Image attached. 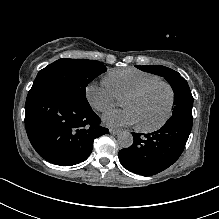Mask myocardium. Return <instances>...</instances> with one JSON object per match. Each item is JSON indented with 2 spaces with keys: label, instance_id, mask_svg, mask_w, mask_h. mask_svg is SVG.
<instances>
[{
  "label": "myocardium",
  "instance_id": "1",
  "mask_svg": "<svg viewBox=\"0 0 219 219\" xmlns=\"http://www.w3.org/2000/svg\"><path fill=\"white\" fill-rule=\"evenodd\" d=\"M156 85H164L167 87V89L169 91V104H168L167 112H166L164 118L162 119V121L154 126L138 125V129L141 132H154V131H157V130L163 128L166 125V123L168 122V120L172 116V112H173V107H174V102H175L174 89L169 82L159 79V80L147 82V83L139 86L138 88L130 91L125 96V98L136 97V96L142 94L143 92H145L146 90H148L149 88L156 86Z\"/></svg>",
  "mask_w": 219,
  "mask_h": 219
}]
</instances>
